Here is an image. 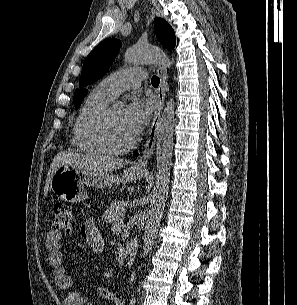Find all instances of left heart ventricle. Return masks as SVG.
<instances>
[{"instance_id":"1","label":"left heart ventricle","mask_w":297,"mask_h":305,"mask_svg":"<svg viewBox=\"0 0 297 305\" xmlns=\"http://www.w3.org/2000/svg\"><path fill=\"white\" fill-rule=\"evenodd\" d=\"M107 137L110 143L114 146H124L132 139L123 122V110L112 108L106 126Z\"/></svg>"}]
</instances>
